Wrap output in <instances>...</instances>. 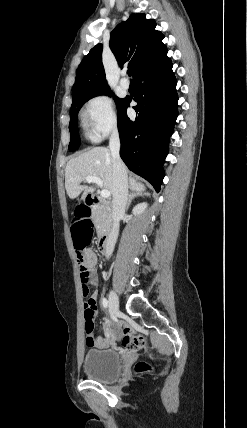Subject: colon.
Returning a JSON list of instances; mask_svg holds the SVG:
<instances>
[{
  "mask_svg": "<svg viewBox=\"0 0 247 428\" xmlns=\"http://www.w3.org/2000/svg\"><path fill=\"white\" fill-rule=\"evenodd\" d=\"M72 212L70 213L72 244L76 247V256L80 269V278L83 286V294L87 296L89 293L90 283L92 280V269L84 258L82 253L83 247L86 246V239H93L94 225L91 223V217L87 212V204H72ZM94 308L87 302L84 304V321L86 339L93 338L94 331ZM124 338L123 346L129 350H138L145 346V338L142 335H135L132 328L128 324L123 325ZM148 367L144 363L136 365L135 369L138 372L146 370Z\"/></svg>",
  "mask_w": 247,
  "mask_h": 428,
  "instance_id": "1",
  "label": "colon"
}]
</instances>
